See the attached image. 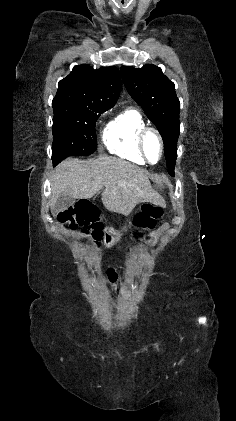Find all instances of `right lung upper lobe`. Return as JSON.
<instances>
[{"label":"right lung upper lobe","mask_w":236,"mask_h":421,"mask_svg":"<svg viewBox=\"0 0 236 421\" xmlns=\"http://www.w3.org/2000/svg\"><path fill=\"white\" fill-rule=\"evenodd\" d=\"M121 90V80L116 67L92 69L88 65L73 68L72 72L58 83L54 99L93 103L113 107Z\"/></svg>","instance_id":"right-lung-upper-lobe-1"}]
</instances>
